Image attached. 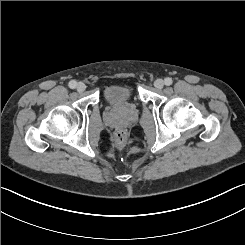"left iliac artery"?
I'll return each mask as SVG.
<instances>
[{"label": "left iliac artery", "instance_id": "44dca946", "mask_svg": "<svg viewBox=\"0 0 245 245\" xmlns=\"http://www.w3.org/2000/svg\"><path fill=\"white\" fill-rule=\"evenodd\" d=\"M164 82H165V84H166L167 86H169V85L172 84L173 80H172V78H169V77H168V78H165Z\"/></svg>", "mask_w": 245, "mask_h": 245}]
</instances>
